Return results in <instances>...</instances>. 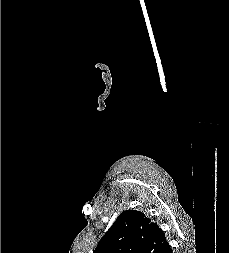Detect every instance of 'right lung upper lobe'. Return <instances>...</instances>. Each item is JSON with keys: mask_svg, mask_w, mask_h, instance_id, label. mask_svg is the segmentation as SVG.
<instances>
[{"mask_svg": "<svg viewBox=\"0 0 229 253\" xmlns=\"http://www.w3.org/2000/svg\"><path fill=\"white\" fill-rule=\"evenodd\" d=\"M169 247L158 225L136 210L123 211L94 253H164Z\"/></svg>", "mask_w": 229, "mask_h": 253, "instance_id": "obj_1", "label": "right lung upper lobe"}]
</instances>
